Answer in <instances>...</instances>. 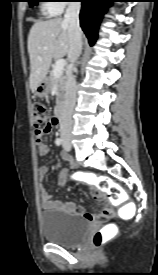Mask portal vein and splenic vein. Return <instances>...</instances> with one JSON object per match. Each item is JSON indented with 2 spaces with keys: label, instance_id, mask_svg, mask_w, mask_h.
<instances>
[{
  "label": "portal vein and splenic vein",
  "instance_id": "portal-vein-and-splenic-vein-1",
  "mask_svg": "<svg viewBox=\"0 0 158 275\" xmlns=\"http://www.w3.org/2000/svg\"><path fill=\"white\" fill-rule=\"evenodd\" d=\"M65 64H66V61L64 59L56 60V63L53 69L55 77H59L63 73Z\"/></svg>",
  "mask_w": 158,
  "mask_h": 275
}]
</instances>
